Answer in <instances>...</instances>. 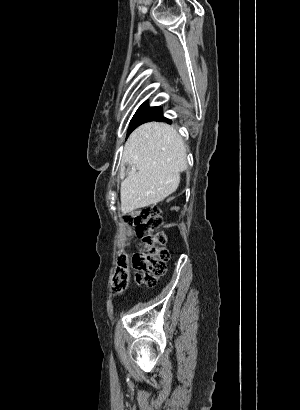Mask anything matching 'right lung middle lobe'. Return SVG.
<instances>
[{
  "label": "right lung middle lobe",
  "instance_id": "obj_1",
  "mask_svg": "<svg viewBox=\"0 0 300 410\" xmlns=\"http://www.w3.org/2000/svg\"><path fill=\"white\" fill-rule=\"evenodd\" d=\"M162 110L160 107H149L147 102H144L136 111L135 115L131 120L130 127L128 129V134L138 125H140L143 121L152 117L156 114L161 113Z\"/></svg>",
  "mask_w": 300,
  "mask_h": 410
}]
</instances>
